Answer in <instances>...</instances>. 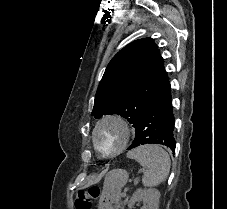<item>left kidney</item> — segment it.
Masks as SVG:
<instances>
[{
  "mask_svg": "<svg viewBox=\"0 0 227 209\" xmlns=\"http://www.w3.org/2000/svg\"><path fill=\"white\" fill-rule=\"evenodd\" d=\"M159 199L160 193L157 189H137V191L133 193L128 207L129 209H134L133 205H135V203L143 201V203H146L144 209H159Z\"/></svg>",
  "mask_w": 227,
  "mask_h": 209,
  "instance_id": "left-kidney-1",
  "label": "left kidney"
}]
</instances>
